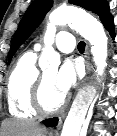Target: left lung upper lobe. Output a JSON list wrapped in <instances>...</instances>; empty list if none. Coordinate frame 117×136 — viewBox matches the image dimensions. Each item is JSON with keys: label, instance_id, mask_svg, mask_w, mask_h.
<instances>
[{"label": "left lung upper lobe", "instance_id": "1", "mask_svg": "<svg viewBox=\"0 0 117 136\" xmlns=\"http://www.w3.org/2000/svg\"><path fill=\"white\" fill-rule=\"evenodd\" d=\"M69 3L96 13L102 22L110 17L109 5L105 0H69ZM52 4V0H34L29 5L12 39L8 62L11 61L20 45L31 35L36 27L39 26L46 13L51 9Z\"/></svg>", "mask_w": 117, "mask_h": 136}]
</instances>
